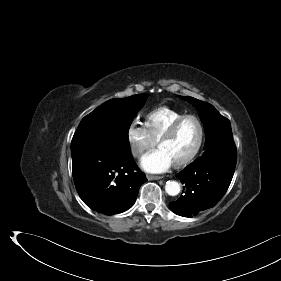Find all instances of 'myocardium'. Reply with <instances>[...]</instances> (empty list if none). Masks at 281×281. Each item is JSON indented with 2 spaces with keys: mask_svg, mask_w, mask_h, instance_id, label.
Instances as JSON below:
<instances>
[{
  "mask_svg": "<svg viewBox=\"0 0 281 281\" xmlns=\"http://www.w3.org/2000/svg\"><path fill=\"white\" fill-rule=\"evenodd\" d=\"M189 118L194 119L198 124L199 139H198V142H197L195 148L193 149V151L187 157H185L184 159L174 163L175 167H183V166H186V165L190 164L199 154V152L202 148L204 136H205L204 125H203L201 119L195 114H184V115L180 116L179 118H177L175 121H173L171 123V125L167 128V130L163 133V135L160 137V139L157 142L158 147H160L161 144L168 141L175 134V132L178 129V127L180 126V124L184 120L189 119Z\"/></svg>",
  "mask_w": 281,
  "mask_h": 281,
  "instance_id": "1",
  "label": "myocardium"
}]
</instances>
